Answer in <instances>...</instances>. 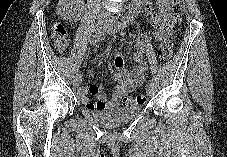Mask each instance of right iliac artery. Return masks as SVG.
Returning a JSON list of instances; mask_svg holds the SVG:
<instances>
[{"mask_svg":"<svg viewBox=\"0 0 227 157\" xmlns=\"http://www.w3.org/2000/svg\"><path fill=\"white\" fill-rule=\"evenodd\" d=\"M94 31H97V30L94 29ZM100 39H101L100 36H98V35L94 36L95 43L100 44L101 43ZM73 69L75 70V74H80V69H79L78 65H74Z\"/></svg>","mask_w":227,"mask_h":157,"instance_id":"right-iliac-artery-1","label":"right iliac artery"}]
</instances>
